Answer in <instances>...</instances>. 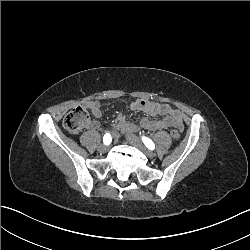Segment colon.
Listing matches in <instances>:
<instances>
[{
  "mask_svg": "<svg viewBox=\"0 0 250 250\" xmlns=\"http://www.w3.org/2000/svg\"><path fill=\"white\" fill-rule=\"evenodd\" d=\"M89 114L87 110L83 107H74L71 109L63 118V128L71 134L80 133L89 123ZM178 130H173L170 132V137L173 138L174 142L180 141Z\"/></svg>",
  "mask_w": 250,
  "mask_h": 250,
  "instance_id": "colon-1",
  "label": "colon"
}]
</instances>
